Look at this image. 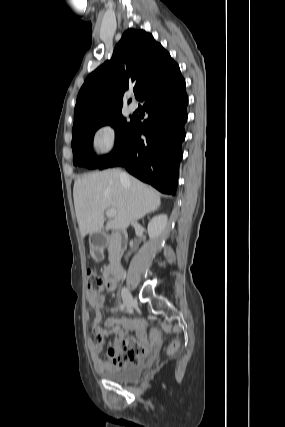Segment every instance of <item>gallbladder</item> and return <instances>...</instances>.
I'll use <instances>...</instances> for the list:
<instances>
[{
	"label": "gallbladder",
	"instance_id": "obj_1",
	"mask_svg": "<svg viewBox=\"0 0 285 427\" xmlns=\"http://www.w3.org/2000/svg\"><path fill=\"white\" fill-rule=\"evenodd\" d=\"M97 235H98V234H93V235H92V237H91V238H92V245H94V246H95V244H96V243H95V238H96V236H97Z\"/></svg>",
	"mask_w": 285,
	"mask_h": 427
}]
</instances>
